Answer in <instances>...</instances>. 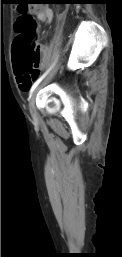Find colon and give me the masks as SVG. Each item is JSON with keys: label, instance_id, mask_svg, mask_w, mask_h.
<instances>
[{"label": "colon", "instance_id": "obj_1", "mask_svg": "<svg viewBox=\"0 0 122 257\" xmlns=\"http://www.w3.org/2000/svg\"><path fill=\"white\" fill-rule=\"evenodd\" d=\"M19 10L15 28L18 34L12 45V58L17 75L30 80L38 72L40 49L37 43L36 24L27 10H35V5H15Z\"/></svg>", "mask_w": 122, "mask_h": 257}]
</instances>
